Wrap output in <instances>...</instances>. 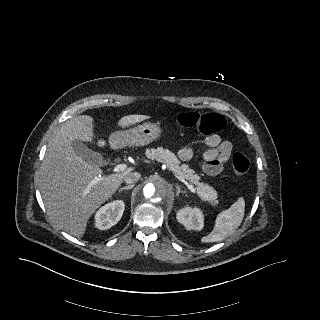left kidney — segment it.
<instances>
[{"label": "left kidney", "instance_id": "obj_1", "mask_svg": "<svg viewBox=\"0 0 320 320\" xmlns=\"http://www.w3.org/2000/svg\"><path fill=\"white\" fill-rule=\"evenodd\" d=\"M177 220L187 229L201 230L203 228V214L198 208L186 207L179 210Z\"/></svg>", "mask_w": 320, "mask_h": 320}]
</instances>
